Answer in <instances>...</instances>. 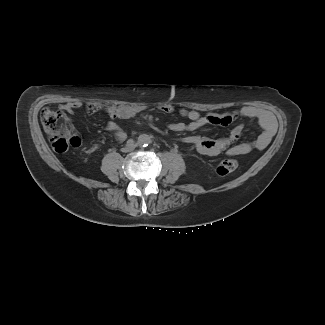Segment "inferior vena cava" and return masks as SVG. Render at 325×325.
Here are the masks:
<instances>
[{
    "instance_id": "1",
    "label": "inferior vena cava",
    "mask_w": 325,
    "mask_h": 325,
    "mask_svg": "<svg viewBox=\"0 0 325 325\" xmlns=\"http://www.w3.org/2000/svg\"><path fill=\"white\" fill-rule=\"evenodd\" d=\"M134 148H135L134 146H130V147L124 148L123 151L129 152V151L134 150Z\"/></svg>"
}]
</instances>
